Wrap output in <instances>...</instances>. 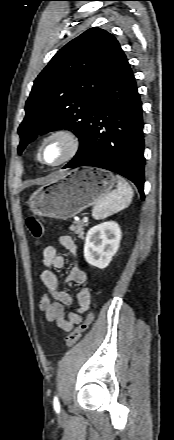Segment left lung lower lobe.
Here are the masks:
<instances>
[{"instance_id":"left-lung-lower-lobe-1","label":"left lung lower lobe","mask_w":174,"mask_h":440,"mask_svg":"<svg viewBox=\"0 0 174 440\" xmlns=\"http://www.w3.org/2000/svg\"><path fill=\"white\" fill-rule=\"evenodd\" d=\"M143 152L142 103L123 53L92 104L81 150L64 168L94 166L116 172L131 180L144 199Z\"/></svg>"}]
</instances>
